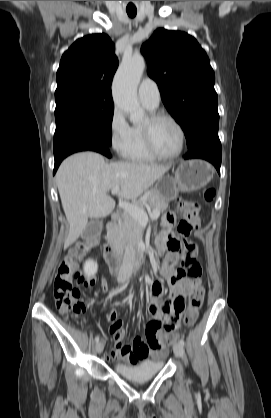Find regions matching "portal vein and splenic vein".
<instances>
[{
	"instance_id": "1",
	"label": "portal vein and splenic vein",
	"mask_w": 271,
	"mask_h": 418,
	"mask_svg": "<svg viewBox=\"0 0 271 418\" xmlns=\"http://www.w3.org/2000/svg\"><path fill=\"white\" fill-rule=\"evenodd\" d=\"M120 188L118 186L113 187L111 189V193L113 195L118 194ZM119 207L124 211L128 212L131 216L137 219L141 223H147L149 218L145 210L136 204L128 203V202H119ZM150 218L157 219L160 216L159 211L154 210L152 213L149 214Z\"/></svg>"
}]
</instances>
